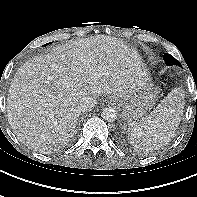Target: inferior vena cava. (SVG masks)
Segmentation results:
<instances>
[{"mask_svg":"<svg viewBox=\"0 0 197 197\" xmlns=\"http://www.w3.org/2000/svg\"><path fill=\"white\" fill-rule=\"evenodd\" d=\"M96 105V100L92 97H85L80 100L79 109L81 112H85Z\"/></svg>","mask_w":197,"mask_h":197,"instance_id":"obj_1","label":"inferior vena cava"}]
</instances>
